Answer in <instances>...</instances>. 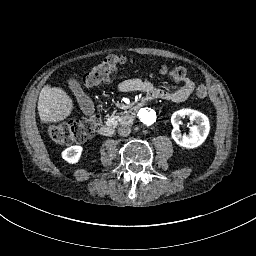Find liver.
Here are the masks:
<instances>
[{
  "mask_svg": "<svg viewBox=\"0 0 256 256\" xmlns=\"http://www.w3.org/2000/svg\"><path fill=\"white\" fill-rule=\"evenodd\" d=\"M37 108L43 123L58 122L71 114L73 102L61 88L46 85L39 94Z\"/></svg>",
  "mask_w": 256,
  "mask_h": 256,
  "instance_id": "1",
  "label": "liver"
}]
</instances>
